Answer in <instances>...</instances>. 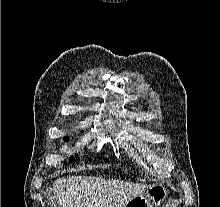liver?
Returning a JSON list of instances; mask_svg holds the SVG:
<instances>
[{
    "label": "liver",
    "mask_w": 220,
    "mask_h": 207,
    "mask_svg": "<svg viewBox=\"0 0 220 207\" xmlns=\"http://www.w3.org/2000/svg\"><path fill=\"white\" fill-rule=\"evenodd\" d=\"M144 190L142 184L93 176L63 177L51 189L59 207H124L130 198Z\"/></svg>",
    "instance_id": "6515ba94"
}]
</instances>
